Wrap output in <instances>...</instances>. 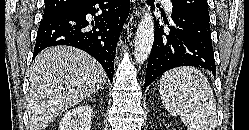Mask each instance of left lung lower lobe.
Listing matches in <instances>:
<instances>
[{
	"label": "left lung lower lobe",
	"mask_w": 249,
	"mask_h": 130,
	"mask_svg": "<svg viewBox=\"0 0 249 130\" xmlns=\"http://www.w3.org/2000/svg\"><path fill=\"white\" fill-rule=\"evenodd\" d=\"M170 31L156 26L144 88L165 71L179 66H194L216 73L209 21L173 7Z\"/></svg>",
	"instance_id": "1"
}]
</instances>
